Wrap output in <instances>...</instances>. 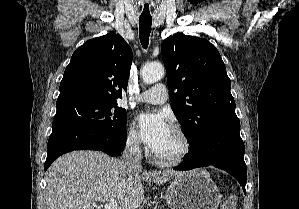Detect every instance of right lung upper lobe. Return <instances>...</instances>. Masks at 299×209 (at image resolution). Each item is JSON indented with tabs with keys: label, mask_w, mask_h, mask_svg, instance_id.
Wrapping results in <instances>:
<instances>
[{
	"label": "right lung upper lobe",
	"mask_w": 299,
	"mask_h": 209,
	"mask_svg": "<svg viewBox=\"0 0 299 209\" xmlns=\"http://www.w3.org/2000/svg\"><path fill=\"white\" fill-rule=\"evenodd\" d=\"M132 51L116 33L85 42L72 55L60 83L57 104L116 102L127 88Z\"/></svg>",
	"instance_id": "obj_1"
}]
</instances>
